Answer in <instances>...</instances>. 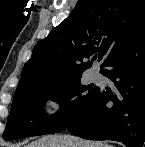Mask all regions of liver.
Instances as JSON below:
<instances>
[{
    "label": "liver",
    "instance_id": "1",
    "mask_svg": "<svg viewBox=\"0 0 145 147\" xmlns=\"http://www.w3.org/2000/svg\"><path fill=\"white\" fill-rule=\"evenodd\" d=\"M26 147H113L107 143L91 142L70 135H46Z\"/></svg>",
    "mask_w": 145,
    "mask_h": 147
}]
</instances>
